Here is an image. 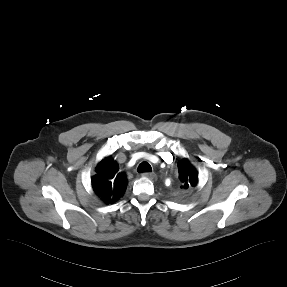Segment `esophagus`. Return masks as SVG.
<instances>
[{
	"instance_id": "obj_1",
	"label": "esophagus",
	"mask_w": 287,
	"mask_h": 287,
	"mask_svg": "<svg viewBox=\"0 0 287 287\" xmlns=\"http://www.w3.org/2000/svg\"><path fill=\"white\" fill-rule=\"evenodd\" d=\"M143 176L149 179H153L156 177V174L154 172H145Z\"/></svg>"
}]
</instances>
